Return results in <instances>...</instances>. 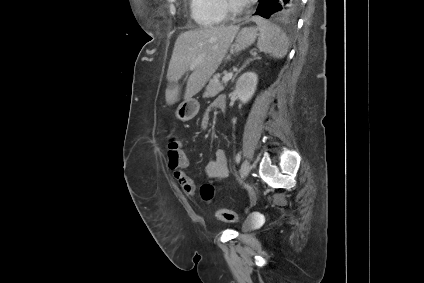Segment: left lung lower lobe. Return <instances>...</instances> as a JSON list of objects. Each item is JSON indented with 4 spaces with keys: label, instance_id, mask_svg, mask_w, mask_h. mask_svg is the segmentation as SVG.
I'll return each mask as SVG.
<instances>
[{
    "label": "left lung lower lobe",
    "instance_id": "obj_1",
    "mask_svg": "<svg viewBox=\"0 0 424 283\" xmlns=\"http://www.w3.org/2000/svg\"><path fill=\"white\" fill-rule=\"evenodd\" d=\"M301 0H260L254 16L270 18L275 16H290L294 14Z\"/></svg>",
    "mask_w": 424,
    "mask_h": 283
}]
</instances>
